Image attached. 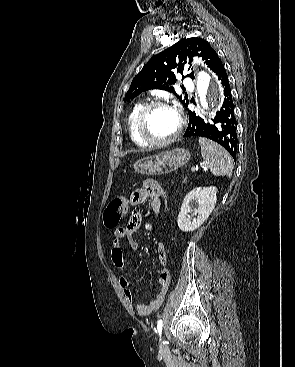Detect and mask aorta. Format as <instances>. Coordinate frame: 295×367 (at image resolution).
<instances>
[{
  "mask_svg": "<svg viewBox=\"0 0 295 367\" xmlns=\"http://www.w3.org/2000/svg\"><path fill=\"white\" fill-rule=\"evenodd\" d=\"M197 91L199 94L200 102L204 108H208L209 105L219 107L224 99L223 88L220 82L211 77V75L205 71H200L197 77ZM212 92L213 97L208 100L209 92Z\"/></svg>",
  "mask_w": 295,
  "mask_h": 367,
  "instance_id": "obj_1",
  "label": "aorta"
}]
</instances>
